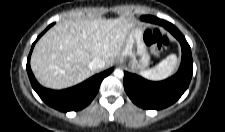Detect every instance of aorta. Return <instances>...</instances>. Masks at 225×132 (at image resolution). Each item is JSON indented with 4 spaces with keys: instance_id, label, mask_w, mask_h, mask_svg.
Listing matches in <instances>:
<instances>
[{
    "instance_id": "1",
    "label": "aorta",
    "mask_w": 225,
    "mask_h": 132,
    "mask_svg": "<svg viewBox=\"0 0 225 132\" xmlns=\"http://www.w3.org/2000/svg\"><path fill=\"white\" fill-rule=\"evenodd\" d=\"M113 74L117 78H122L124 76V72L121 69H115Z\"/></svg>"
}]
</instances>
